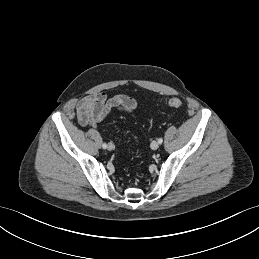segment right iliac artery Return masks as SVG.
Returning <instances> with one entry per match:
<instances>
[{
    "label": "right iliac artery",
    "instance_id": "right-iliac-artery-1",
    "mask_svg": "<svg viewBox=\"0 0 259 259\" xmlns=\"http://www.w3.org/2000/svg\"><path fill=\"white\" fill-rule=\"evenodd\" d=\"M102 147H103L104 149H106V148H107V144H106V143H103Z\"/></svg>",
    "mask_w": 259,
    "mask_h": 259
}]
</instances>
